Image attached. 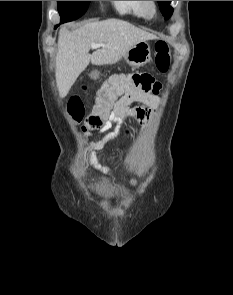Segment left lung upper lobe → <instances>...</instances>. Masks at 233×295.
Returning a JSON list of instances; mask_svg holds the SVG:
<instances>
[{
	"instance_id": "left-lung-upper-lobe-1",
	"label": "left lung upper lobe",
	"mask_w": 233,
	"mask_h": 295,
	"mask_svg": "<svg viewBox=\"0 0 233 295\" xmlns=\"http://www.w3.org/2000/svg\"><path fill=\"white\" fill-rule=\"evenodd\" d=\"M171 1H158L162 14L169 18L173 13V8L170 6Z\"/></svg>"
}]
</instances>
